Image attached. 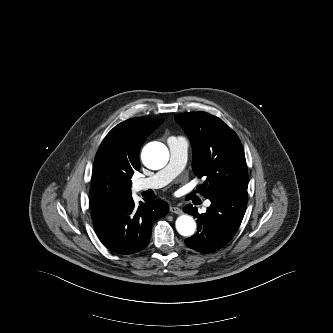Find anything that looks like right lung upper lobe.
<instances>
[{
  "mask_svg": "<svg viewBox=\"0 0 333 333\" xmlns=\"http://www.w3.org/2000/svg\"><path fill=\"white\" fill-rule=\"evenodd\" d=\"M163 119L132 118L115 126L96 154L92 173V201L120 204L131 198V178L140 169L139 151Z\"/></svg>",
  "mask_w": 333,
  "mask_h": 333,
  "instance_id": "right-lung-upper-lobe-1",
  "label": "right lung upper lobe"
}]
</instances>
